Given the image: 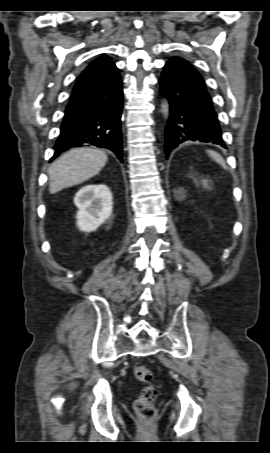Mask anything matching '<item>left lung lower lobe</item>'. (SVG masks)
I'll return each mask as SVG.
<instances>
[{
  "label": "left lung lower lobe",
  "mask_w": 270,
  "mask_h": 453,
  "mask_svg": "<svg viewBox=\"0 0 270 453\" xmlns=\"http://www.w3.org/2000/svg\"><path fill=\"white\" fill-rule=\"evenodd\" d=\"M160 94L170 104L165 129V155L186 141L211 142L226 148L211 97L202 76L186 60L175 57L164 66Z\"/></svg>",
  "instance_id": "obj_1"
}]
</instances>
